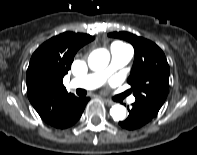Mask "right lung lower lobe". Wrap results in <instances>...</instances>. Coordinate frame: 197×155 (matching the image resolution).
I'll list each match as a JSON object with an SVG mask.
<instances>
[{
    "label": "right lung lower lobe",
    "instance_id": "obj_1",
    "mask_svg": "<svg viewBox=\"0 0 197 155\" xmlns=\"http://www.w3.org/2000/svg\"><path fill=\"white\" fill-rule=\"evenodd\" d=\"M88 101L89 98L74 96L50 125L58 129H66L72 126L81 117Z\"/></svg>",
    "mask_w": 197,
    "mask_h": 155
}]
</instances>
